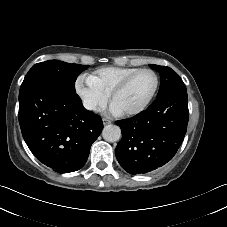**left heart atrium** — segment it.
I'll return each mask as SVG.
<instances>
[{
    "instance_id": "left-heart-atrium-1",
    "label": "left heart atrium",
    "mask_w": 227,
    "mask_h": 227,
    "mask_svg": "<svg viewBox=\"0 0 227 227\" xmlns=\"http://www.w3.org/2000/svg\"><path fill=\"white\" fill-rule=\"evenodd\" d=\"M110 111L113 114H121L123 112L122 109L115 102H112L110 106Z\"/></svg>"
}]
</instances>
